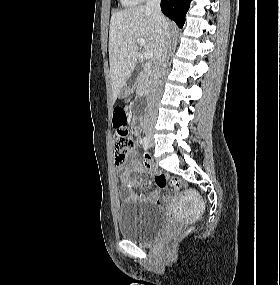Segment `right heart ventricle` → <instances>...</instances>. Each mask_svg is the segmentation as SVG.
Returning <instances> with one entry per match:
<instances>
[{"instance_id":"e07e8e85","label":"right heart ventricle","mask_w":280,"mask_h":285,"mask_svg":"<svg viewBox=\"0 0 280 285\" xmlns=\"http://www.w3.org/2000/svg\"><path fill=\"white\" fill-rule=\"evenodd\" d=\"M140 0H121L122 4L125 6H133Z\"/></svg>"}]
</instances>
